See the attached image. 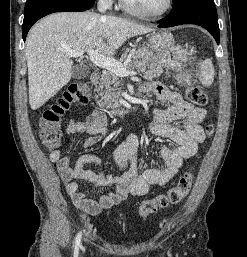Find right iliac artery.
Listing matches in <instances>:
<instances>
[{
  "mask_svg": "<svg viewBox=\"0 0 247 257\" xmlns=\"http://www.w3.org/2000/svg\"><path fill=\"white\" fill-rule=\"evenodd\" d=\"M81 238L82 232H79L75 238V250H74V257L78 256L79 248L81 246Z\"/></svg>",
  "mask_w": 247,
  "mask_h": 257,
  "instance_id": "obj_1",
  "label": "right iliac artery"
}]
</instances>
